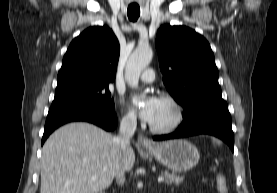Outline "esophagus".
<instances>
[{
    "instance_id": "1",
    "label": "esophagus",
    "mask_w": 277,
    "mask_h": 193,
    "mask_svg": "<svg viewBox=\"0 0 277 193\" xmlns=\"http://www.w3.org/2000/svg\"><path fill=\"white\" fill-rule=\"evenodd\" d=\"M138 144H140L143 147H152L154 144L153 142L143 134H139L137 137Z\"/></svg>"
}]
</instances>
